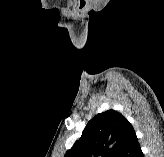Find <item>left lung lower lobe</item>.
Instances as JSON below:
<instances>
[{"label":"left lung lower lobe","instance_id":"0a47b994","mask_svg":"<svg viewBox=\"0 0 164 157\" xmlns=\"http://www.w3.org/2000/svg\"><path fill=\"white\" fill-rule=\"evenodd\" d=\"M119 157H144L136 134L130 138Z\"/></svg>","mask_w":164,"mask_h":157}]
</instances>
